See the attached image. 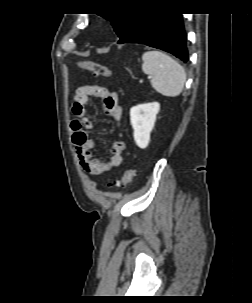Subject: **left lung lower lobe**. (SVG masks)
Returning a JSON list of instances; mask_svg holds the SVG:
<instances>
[{"label":"left lung lower lobe","instance_id":"1","mask_svg":"<svg viewBox=\"0 0 252 303\" xmlns=\"http://www.w3.org/2000/svg\"><path fill=\"white\" fill-rule=\"evenodd\" d=\"M127 42L158 48L185 63L188 61L186 35L179 13H145L135 28L118 43Z\"/></svg>","mask_w":252,"mask_h":303}]
</instances>
